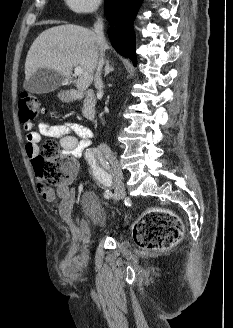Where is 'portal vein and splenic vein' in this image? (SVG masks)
<instances>
[{
  "label": "portal vein and splenic vein",
  "mask_w": 233,
  "mask_h": 328,
  "mask_svg": "<svg viewBox=\"0 0 233 328\" xmlns=\"http://www.w3.org/2000/svg\"><path fill=\"white\" fill-rule=\"evenodd\" d=\"M74 73L75 75H80L83 73V69L81 67H75Z\"/></svg>",
  "instance_id": "1"
}]
</instances>
